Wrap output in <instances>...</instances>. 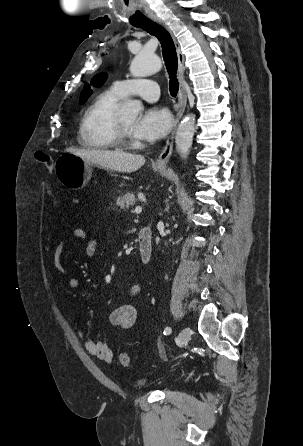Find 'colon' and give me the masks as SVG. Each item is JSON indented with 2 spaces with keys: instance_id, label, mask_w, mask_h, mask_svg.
<instances>
[{
  "instance_id": "obj_1",
  "label": "colon",
  "mask_w": 303,
  "mask_h": 446,
  "mask_svg": "<svg viewBox=\"0 0 303 446\" xmlns=\"http://www.w3.org/2000/svg\"><path fill=\"white\" fill-rule=\"evenodd\" d=\"M35 157L38 162L45 164L49 173L53 172V160L49 155L43 152H36ZM118 361L121 366L125 368L130 367V358L127 353H120L118 356Z\"/></svg>"
}]
</instances>
